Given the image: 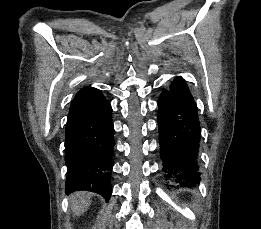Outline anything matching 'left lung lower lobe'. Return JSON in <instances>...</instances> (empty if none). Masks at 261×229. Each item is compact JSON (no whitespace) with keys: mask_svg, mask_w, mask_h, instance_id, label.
<instances>
[{"mask_svg":"<svg viewBox=\"0 0 261 229\" xmlns=\"http://www.w3.org/2000/svg\"><path fill=\"white\" fill-rule=\"evenodd\" d=\"M158 106L162 172L183 184L199 183L200 122L196 103L182 77L174 79L170 90H163Z\"/></svg>","mask_w":261,"mask_h":229,"instance_id":"obj_1","label":"left lung lower lobe"}]
</instances>
